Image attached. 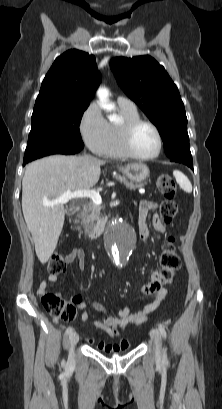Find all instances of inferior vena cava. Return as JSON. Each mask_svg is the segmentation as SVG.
<instances>
[{"instance_id":"inferior-vena-cava-1","label":"inferior vena cava","mask_w":222,"mask_h":409,"mask_svg":"<svg viewBox=\"0 0 222 409\" xmlns=\"http://www.w3.org/2000/svg\"><path fill=\"white\" fill-rule=\"evenodd\" d=\"M86 158H89V159H95V158H93L92 156H90V155H86Z\"/></svg>"}]
</instances>
